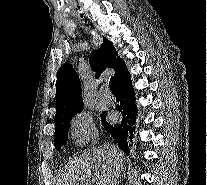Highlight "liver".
Returning <instances> with one entry per match:
<instances>
[{
    "label": "liver",
    "mask_w": 207,
    "mask_h": 185,
    "mask_svg": "<svg viewBox=\"0 0 207 185\" xmlns=\"http://www.w3.org/2000/svg\"><path fill=\"white\" fill-rule=\"evenodd\" d=\"M123 155L124 153L118 147H114L113 151L111 149L88 151V153H84L83 159L70 161L65 181L68 185H78V181H86V167H90V165L98 161L97 165H101V169H104V171L100 175V181H98L97 185H101V183L102 185H111L117 169L121 171L123 167L121 163ZM72 173H75V175H72Z\"/></svg>",
    "instance_id": "liver-1"
}]
</instances>
